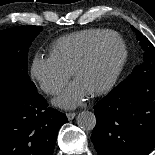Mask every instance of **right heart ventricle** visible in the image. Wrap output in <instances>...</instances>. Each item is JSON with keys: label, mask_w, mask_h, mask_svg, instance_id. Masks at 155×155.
<instances>
[{"label": "right heart ventricle", "mask_w": 155, "mask_h": 155, "mask_svg": "<svg viewBox=\"0 0 155 155\" xmlns=\"http://www.w3.org/2000/svg\"><path fill=\"white\" fill-rule=\"evenodd\" d=\"M114 33L110 29L92 28L62 36L52 43L50 55L71 73L99 41Z\"/></svg>", "instance_id": "1"}]
</instances>
